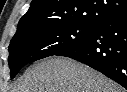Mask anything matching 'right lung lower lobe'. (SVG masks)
<instances>
[{
    "instance_id": "1",
    "label": "right lung lower lobe",
    "mask_w": 127,
    "mask_h": 92,
    "mask_svg": "<svg viewBox=\"0 0 127 92\" xmlns=\"http://www.w3.org/2000/svg\"><path fill=\"white\" fill-rule=\"evenodd\" d=\"M56 55L87 64L127 89V12L96 25L89 38Z\"/></svg>"
}]
</instances>
